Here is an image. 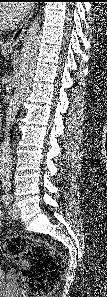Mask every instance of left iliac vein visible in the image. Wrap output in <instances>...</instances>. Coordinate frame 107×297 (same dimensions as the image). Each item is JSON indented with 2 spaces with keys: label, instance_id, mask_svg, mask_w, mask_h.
Masks as SVG:
<instances>
[{
  "label": "left iliac vein",
  "instance_id": "obj_1",
  "mask_svg": "<svg viewBox=\"0 0 107 297\" xmlns=\"http://www.w3.org/2000/svg\"><path fill=\"white\" fill-rule=\"evenodd\" d=\"M9 215H10L13 219H18L19 216H20L19 208H18L14 203H12V204L9 206Z\"/></svg>",
  "mask_w": 107,
  "mask_h": 297
}]
</instances>
